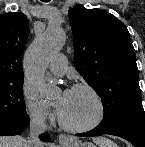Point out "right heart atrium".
<instances>
[{
    "mask_svg": "<svg viewBox=\"0 0 145 147\" xmlns=\"http://www.w3.org/2000/svg\"><path fill=\"white\" fill-rule=\"evenodd\" d=\"M22 99L29 120L35 125L45 126L53 120L49 107L39 99L37 91L29 85L22 88Z\"/></svg>",
    "mask_w": 145,
    "mask_h": 147,
    "instance_id": "1",
    "label": "right heart atrium"
}]
</instances>
